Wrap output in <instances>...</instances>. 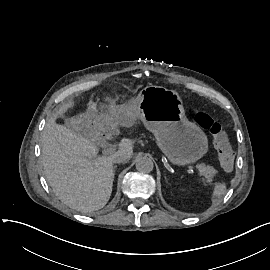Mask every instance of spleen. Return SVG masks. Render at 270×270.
I'll return each mask as SVG.
<instances>
[{"instance_id": "spleen-1", "label": "spleen", "mask_w": 270, "mask_h": 270, "mask_svg": "<svg viewBox=\"0 0 270 270\" xmlns=\"http://www.w3.org/2000/svg\"><path fill=\"white\" fill-rule=\"evenodd\" d=\"M227 191V185L225 181L214 183L213 185V191L210 195L211 200H215L218 197H221L224 195Z\"/></svg>"}]
</instances>
